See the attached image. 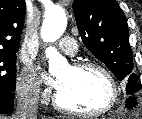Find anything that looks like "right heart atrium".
<instances>
[{"label": "right heart atrium", "instance_id": "right-heart-atrium-1", "mask_svg": "<svg viewBox=\"0 0 142 119\" xmlns=\"http://www.w3.org/2000/svg\"><path fill=\"white\" fill-rule=\"evenodd\" d=\"M16 91L21 98L31 102H35L39 98H45L48 95L47 91H40L36 71L30 65L25 66L19 75L16 82Z\"/></svg>", "mask_w": 142, "mask_h": 119}]
</instances>
